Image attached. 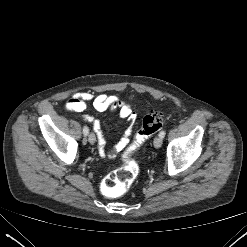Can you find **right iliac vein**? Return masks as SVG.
<instances>
[{"label":"right iliac vein","mask_w":247,"mask_h":247,"mask_svg":"<svg viewBox=\"0 0 247 247\" xmlns=\"http://www.w3.org/2000/svg\"><path fill=\"white\" fill-rule=\"evenodd\" d=\"M88 141L91 143V144H94L96 142V137H95V134L94 133H90L88 135Z\"/></svg>","instance_id":"1"}]
</instances>
